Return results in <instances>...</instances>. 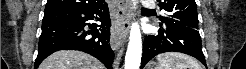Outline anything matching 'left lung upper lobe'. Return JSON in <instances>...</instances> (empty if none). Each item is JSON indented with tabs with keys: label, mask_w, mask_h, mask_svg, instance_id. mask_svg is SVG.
<instances>
[{
	"label": "left lung upper lobe",
	"mask_w": 246,
	"mask_h": 69,
	"mask_svg": "<svg viewBox=\"0 0 246 69\" xmlns=\"http://www.w3.org/2000/svg\"><path fill=\"white\" fill-rule=\"evenodd\" d=\"M165 16L159 19L166 26H180L198 30V13L195 0H157Z\"/></svg>",
	"instance_id": "obj_1"
}]
</instances>
